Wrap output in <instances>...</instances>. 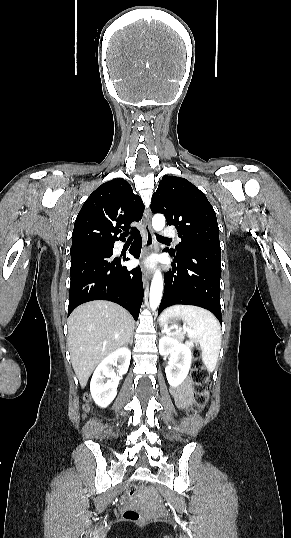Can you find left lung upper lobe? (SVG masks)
I'll use <instances>...</instances> for the list:
<instances>
[{
  "label": "left lung upper lobe",
  "instance_id": "1",
  "mask_svg": "<svg viewBox=\"0 0 291 538\" xmlns=\"http://www.w3.org/2000/svg\"><path fill=\"white\" fill-rule=\"evenodd\" d=\"M153 213L164 214L168 225H174L181 238L172 255L192 248L221 250L216 214L206 196L184 178L163 176L152 196Z\"/></svg>",
  "mask_w": 291,
  "mask_h": 538
}]
</instances>
